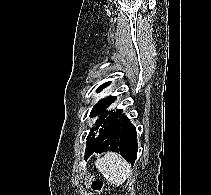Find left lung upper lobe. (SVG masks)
<instances>
[{
    "instance_id": "5c2ea615",
    "label": "left lung upper lobe",
    "mask_w": 211,
    "mask_h": 195,
    "mask_svg": "<svg viewBox=\"0 0 211 195\" xmlns=\"http://www.w3.org/2000/svg\"><path fill=\"white\" fill-rule=\"evenodd\" d=\"M110 82H106L102 84L98 89L97 92H100L103 88L108 86ZM116 96H108L104 99H101L92 109L90 113V117L99 116L100 118L96 120L95 126L91 128L90 133L87 137L86 142V150L85 153L90 151L98 142L99 137L103 131V129L110 123L113 119L118 117L122 113V109L117 110L116 112L113 111H106V108L114 102Z\"/></svg>"
}]
</instances>
